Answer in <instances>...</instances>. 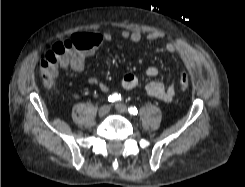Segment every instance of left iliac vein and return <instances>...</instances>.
Returning <instances> with one entry per match:
<instances>
[{"instance_id":"obj_1","label":"left iliac vein","mask_w":245,"mask_h":187,"mask_svg":"<svg viewBox=\"0 0 245 187\" xmlns=\"http://www.w3.org/2000/svg\"><path fill=\"white\" fill-rule=\"evenodd\" d=\"M115 108L116 110L119 112V113H125L128 111V108L125 104L123 103H118L115 105Z\"/></svg>"}]
</instances>
